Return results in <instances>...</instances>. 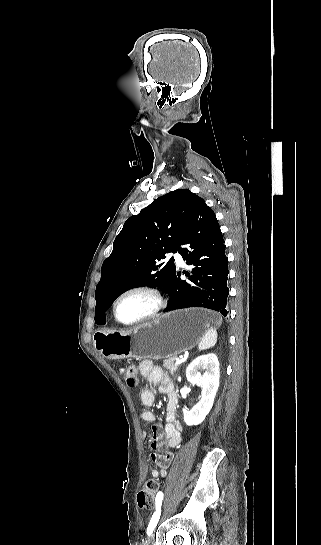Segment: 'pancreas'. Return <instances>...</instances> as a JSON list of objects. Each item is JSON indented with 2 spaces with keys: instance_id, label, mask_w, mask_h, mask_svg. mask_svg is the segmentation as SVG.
Listing matches in <instances>:
<instances>
[{
  "instance_id": "obj_1",
  "label": "pancreas",
  "mask_w": 321,
  "mask_h": 545,
  "mask_svg": "<svg viewBox=\"0 0 321 545\" xmlns=\"http://www.w3.org/2000/svg\"><path fill=\"white\" fill-rule=\"evenodd\" d=\"M175 361V357H172V359H165V361H163L164 369H168L171 375H175V373L178 371L179 365H175Z\"/></svg>"
}]
</instances>
